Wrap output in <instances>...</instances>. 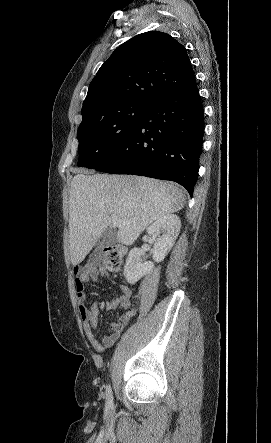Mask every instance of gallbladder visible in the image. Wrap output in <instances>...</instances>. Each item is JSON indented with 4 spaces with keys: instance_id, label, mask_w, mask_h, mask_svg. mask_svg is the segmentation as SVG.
<instances>
[{
    "instance_id": "1",
    "label": "gallbladder",
    "mask_w": 271,
    "mask_h": 443,
    "mask_svg": "<svg viewBox=\"0 0 271 443\" xmlns=\"http://www.w3.org/2000/svg\"><path fill=\"white\" fill-rule=\"evenodd\" d=\"M117 243V233L116 231H112V229H106L103 231L101 237L98 239L97 249H102V247H111V245H115ZM94 260H85L84 268L85 269H103L104 268V259L106 254L104 251H94L92 254Z\"/></svg>"
}]
</instances>
